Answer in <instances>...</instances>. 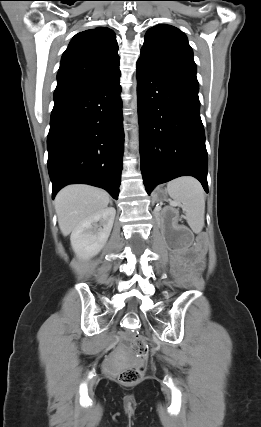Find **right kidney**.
<instances>
[{"instance_id": "ca27d5eb", "label": "right kidney", "mask_w": 261, "mask_h": 427, "mask_svg": "<svg viewBox=\"0 0 261 427\" xmlns=\"http://www.w3.org/2000/svg\"><path fill=\"white\" fill-rule=\"evenodd\" d=\"M115 214V208H106L72 231L71 246L78 257L89 259L102 250L112 230Z\"/></svg>"}]
</instances>
